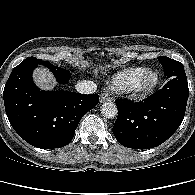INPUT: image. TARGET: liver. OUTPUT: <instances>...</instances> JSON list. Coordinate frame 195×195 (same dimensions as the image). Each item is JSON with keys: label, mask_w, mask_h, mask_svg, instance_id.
Segmentation results:
<instances>
[{"label": "liver", "mask_w": 195, "mask_h": 195, "mask_svg": "<svg viewBox=\"0 0 195 195\" xmlns=\"http://www.w3.org/2000/svg\"><path fill=\"white\" fill-rule=\"evenodd\" d=\"M34 80L42 89H52L54 86V78L46 69L36 70Z\"/></svg>", "instance_id": "liver-1"}]
</instances>
